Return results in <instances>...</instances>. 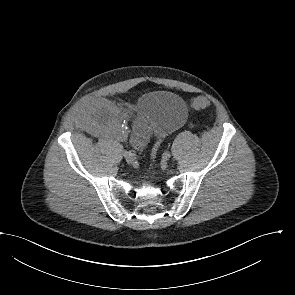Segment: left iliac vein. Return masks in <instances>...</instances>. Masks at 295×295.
Listing matches in <instances>:
<instances>
[{"mask_svg": "<svg viewBox=\"0 0 295 295\" xmlns=\"http://www.w3.org/2000/svg\"><path fill=\"white\" fill-rule=\"evenodd\" d=\"M167 166H168V158L167 157H163L162 167L163 168H167Z\"/></svg>", "mask_w": 295, "mask_h": 295, "instance_id": "4c4485c4", "label": "left iliac vein"}]
</instances>
